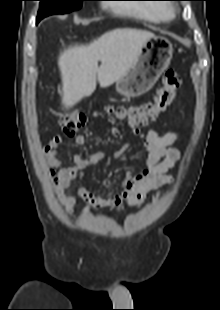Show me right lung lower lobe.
Segmentation results:
<instances>
[{"label": "right lung lower lobe", "instance_id": "right-lung-lower-lobe-1", "mask_svg": "<svg viewBox=\"0 0 220 310\" xmlns=\"http://www.w3.org/2000/svg\"><path fill=\"white\" fill-rule=\"evenodd\" d=\"M40 20H41L40 18H37V22L36 23H38Z\"/></svg>", "mask_w": 220, "mask_h": 310}]
</instances>
